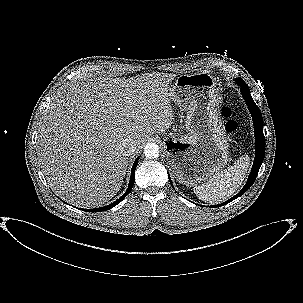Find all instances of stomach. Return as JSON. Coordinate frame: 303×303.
I'll list each match as a JSON object with an SVG mask.
<instances>
[{"label": "stomach", "instance_id": "1", "mask_svg": "<svg viewBox=\"0 0 303 303\" xmlns=\"http://www.w3.org/2000/svg\"><path fill=\"white\" fill-rule=\"evenodd\" d=\"M170 92L172 102L187 114L188 134L167 136L165 150L176 180L193 186L221 172L229 161L221 95L207 72L178 76Z\"/></svg>", "mask_w": 303, "mask_h": 303}]
</instances>
